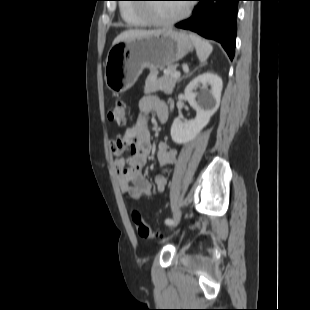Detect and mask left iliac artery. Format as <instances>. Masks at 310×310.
<instances>
[{"label": "left iliac artery", "instance_id": "1", "mask_svg": "<svg viewBox=\"0 0 310 310\" xmlns=\"http://www.w3.org/2000/svg\"><path fill=\"white\" fill-rule=\"evenodd\" d=\"M172 222H173V220L170 219V218H167V219L165 220V223H166L167 225L172 224Z\"/></svg>", "mask_w": 310, "mask_h": 310}]
</instances>
